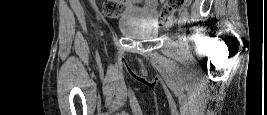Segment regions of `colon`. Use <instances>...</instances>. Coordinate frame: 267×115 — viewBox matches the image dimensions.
<instances>
[{
  "instance_id": "obj_1",
  "label": "colon",
  "mask_w": 267,
  "mask_h": 115,
  "mask_svg": "<svg viewBox=\"0 0 267 115\" xmlns=\"http://www.w3.org/2000/svg\"><path fill=\"white\" fill-rule=\"evenodd\" d=\"M190 0H167L162 5L159 18L162 22L171 20ZM125 9L123 0H106L102 7V14L107 18L119 17Z\"/></svg>"
}]
</instances>
